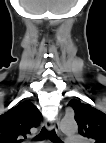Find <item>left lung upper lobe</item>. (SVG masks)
<instances>
[{
	"mask_svg": "<svg viewBox=\"0 0 106 143\" xmlns=\"http://www.w3.org/2000/svg\"><path fill=\"white\" fill-rule=\"evenodd\" d=\"M68 106L75 112V120L78 124V132L95 143H106V114L84 104L79 100L72 99Z\"/></svg>",
	"mask_w": 106,
	"mask_h": 143,
	"instance_id": "obj_1",
	"label": "left lung upper lobe"
}]
</instances>
